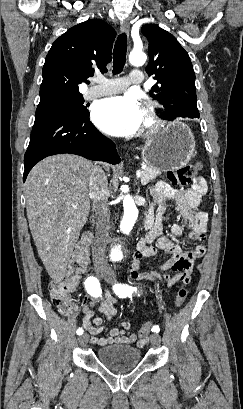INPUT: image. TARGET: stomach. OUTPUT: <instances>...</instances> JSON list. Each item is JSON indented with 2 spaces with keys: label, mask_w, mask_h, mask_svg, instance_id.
Segmentation results:
<instances>
[{
  "label": "stomach",
  "mask_w": 243,
  "mask_h": 409,
  "mask_svg": "<svg viewBox=\"0 0 243 409\" xmlns=\"http://www.w3.org/2000/svg\"><path fill=\"white\" fill-rule=\"evenodd\" d=\"M195 151L191 129L180 121L149 136L142 147V158L148 167L158 171L179 169L189 163Z\"/></svg>",
  "instance_id": "0dacf381"
}]
</instances>
